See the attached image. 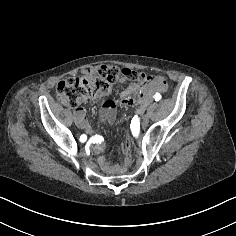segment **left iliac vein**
I'll use <instances>...</instances> for the list:
<instances>
[{"label":"left iliac vein","instance_id":"left-iliac-vein-1","mask_svg":"<svg viewBox=\"0 0 236 236\" xmlns=\"http://www.w3.org/2000/svg\"><path fill=\"white\" fill-rule=\"evenodd\" d=\"M147 119H148L147 115H144L142 117V127H147Z\"/></svg>","mask_w":236,"mask_h":236}]
</instances>
